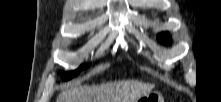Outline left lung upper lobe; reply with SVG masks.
Returning a JSON list of instances; mask_svg holds the SVG:
<instances>
[{"mask_svg":"<svg viewBox=\"0 0 221 102\" xmlns=\"http://www.w3.org/2000/svg\"><path fill=\"white\" fill-rule=\"evenodd\" d=\"M158 39L163 44H166V43L170 42V38L168 37V35L166 33L160 34Z\"/></svg>","mask_w":221,"mask_h":102,"instance_id":"obj_1","label":"left lung upper lobe"}]
</instances>
